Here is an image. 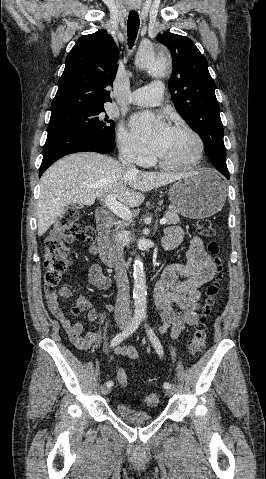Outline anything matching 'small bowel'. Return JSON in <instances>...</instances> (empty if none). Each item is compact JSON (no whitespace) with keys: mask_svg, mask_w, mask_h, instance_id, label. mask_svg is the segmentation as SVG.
<instances>
[{"mask_svg":"<svg viewBox=\"0 0 266 479\" xmlns=\"http://www.w3.org/2000/svg\"><path fill=\"white\" fill-rule=\"evenodd\" d=\"M65 239L71 242L73 237L67 235ZM182 241L181 228L170 226L166 230L162 244L165 249L172 250L178 248ZM215 273L216 266L205 250L203 242L199 237L193 236L187 252V261L167 266L154 287L155 305L160 311L162 322L159 328L161 333L170 329L172 338H178L187 326L197 324L202 297L201 286L211 281ZM89 280L99 290H108L111 287V279L102 272L99 264L90 266ZM71 293L70 286H62L53 291L45 289L49 310L65 329L76 348L86 351L100 346L103 339L99 333H84L83 324L72 321L64 311L61 300L68 299ZM112 310L111 305H105L99 310L92 305L87 296L81 295L71 309V314L77 316L83 311H88L87 322L92 323L108 316ZM114 351L116 355L132 360L140 358L139 352L131 346L116 345Z\"/></svg>","mask_w":266,"mask_h":479,"instance_id":"c3829d8e","label":"small bowel"}]
</instances>
